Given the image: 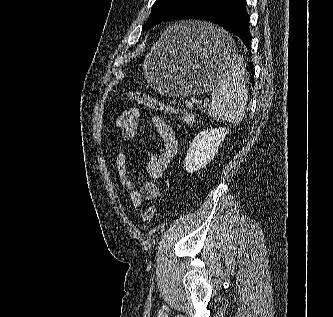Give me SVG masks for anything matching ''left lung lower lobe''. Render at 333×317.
<instances>
[{"label":"left lung lower lobe","mask_w":333,"mask_h":317,"mask_svg":"<svg viewBox=\"0 0 333 317\" xmlns=\"http://www.w3.org/2000/svg\"><path fill=\"white\" fill-rule=\"evenodd\" d=\"M185 19L205 20L237 35L251 52V34L246 0H213L208 5L189 13ZM250 72V70L248 69ZM254 85V78H251Z\"/></svg>","instance_id":"obj_1"}]
</instances>
